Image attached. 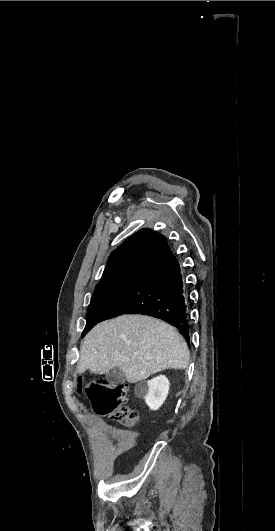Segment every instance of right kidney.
Wrapping results in <instances>:
<instances>
[{"mask_svg": "<svg viewBox=\"0 0 275 531\" xmlns=\"http://www.w3.org/2000/svg\"><path fill=\"white\" fill-rule=\"evenodd\" d=\"M169 381L165 375L154 377L150 381H142L135 387V395L143 397L151 411H158L169 393Z\"/></svg>", "mask_w": 275, "mask_h": 531, "instance_id": "1", "label": "right kidney"}]
</instances>
